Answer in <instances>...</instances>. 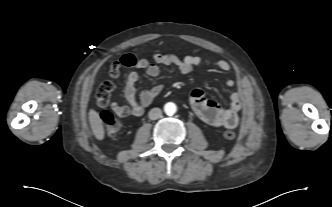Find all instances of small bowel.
I'll use <instances>...</instances> for the list:
<instances>
[{
    "mask_svg": "<svg viewBox=\"0 0 332 207\" xmlns=\"http://www.w3.org/2000/svg\"><path fill=\"white\" fill-rule=\"evenodd\" d=\"M158 64L173 66L181 74H189L193 70V67L208 64H214L219 70L224 72L231 70V65L226 60L213 61L209 57L197 55L178 57L173 54L161 53H155L152 56V61L145 59L139 60L136 62L135 66L139 69H143L149 77L155 78L160 73ZM138 79L139 74L137 71H131L128 74L124 95L129 106H126L127 112L125 114H119V116H140L145 107L162 91V86L156 84L142 91L140 95L137 96L135 84ZM226 84L232 87L235 81L233 79H227ZM190 101L195 113L209 125L233 129L239 124V112L241 111L243 101V94L239 91L231 92V103L227 108L220 106L214 101L208 100L201 89H195L191 92Z\"/></svg>",
    "mask_w": 332,
    "mask_h": 207,
    "instance_id": "c3829d8e",
    "label": "small bowel"
}]
</instances>
